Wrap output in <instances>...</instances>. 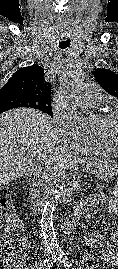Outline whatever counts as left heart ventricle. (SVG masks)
Here are the masks:
<instances>
[{"mask_svg": "<svg viewBox=\"0 0 118 269\" xmlns=\"http://www.w3.org/2000/svg\"><path fill=\"white\" fill-rule=\"evenodd\" d=\"M96 134H105L111 139L118 141V116L110 122L100 118L93 130Z\"/></svg>", "mask_w": 118, "mask_h": 269, "instance_id": "b2bd125f", "label": "left heart ventricle"}]
</instances>
